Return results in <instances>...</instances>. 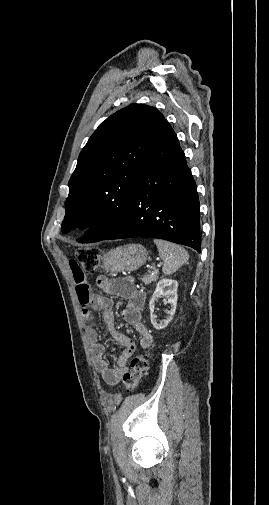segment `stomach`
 <instances>
[{"label": "stomach", "mask_w": 269, "mask_h": 505, "mask_svg": "<svg viewBox=\"0 0 269 505\" xmlns=\"http://www.w3.org/2000/svg\"><path fill=\"white\" fill-rule=\"evenodd\" d=\"M148 251L140 244H127L106 252L102 257L103 268L117 274L121 271H134L146 263Z\"/></svg>", "instance_id": "obj_1"}]
</instances>
